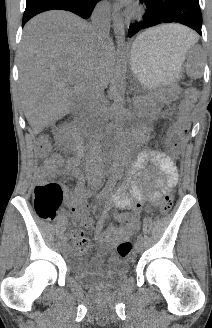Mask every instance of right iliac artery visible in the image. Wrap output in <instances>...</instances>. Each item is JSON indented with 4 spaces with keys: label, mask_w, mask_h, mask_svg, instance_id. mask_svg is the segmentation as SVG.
Returning a JSON list of instances; mask_svg holds the SVG:
<instances>
[{
    "label": "right iliac artery",
    "mask_w": 212,
    "mask_h": 328,
    "mask_svg": "<svg viewBox=\"0 0 212 328\" xmlns=\"http://www.w3.org/2000/svg\"><path fill=\"white\" fill-rule=\"evenodd\" d=\"M111 185H114V184H111ZM66 241H67V238L64 236V237L62 238V242H63V244H65Z\"/></svg>",
    "instance_id": "right-iliac-artery-1"
}]
</instances>
